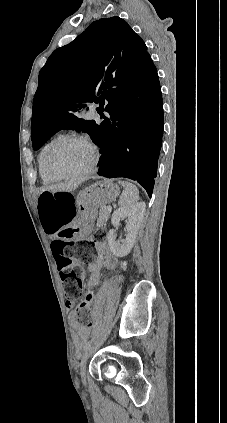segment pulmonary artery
Returning a JSON list of instances; mask_svg holds the SVG:
<instances>
[{
	"instance_id": "obj_1",
	"label": "pulmonary artery",
	"mask_w": 227,
	"mask_h": 423,
	"mask_svg": "<svg viewBox=\"0 0 227 423\" xmlns=\"http://www.w3.org/2000/svg\"><path fill=\"white\" fill-rule=\"evenodd\" d=\"M82 120H91V118H97L95 112L91 111H82L81 113Z\"/></svg>"
}]
</instances>
